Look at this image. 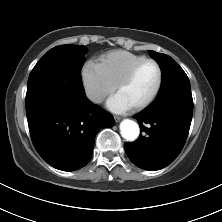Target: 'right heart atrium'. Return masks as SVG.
Instances as JSON below:
<instances>
[{"label":"right heart atrium","mask_w":222,"mask_h":222,"mask_svg":"<svg viewBox=\"0 0 222 222\" xmlns=\"http://www.w3.org/2000/svg\"><path fill=\"white\" fill-rule=\"evenodd\" d=\"M82 82L87 98L94 104L101 103L115 89L99 64L90 60L82 68Z\"/></svg>","instance_id":"1"}]
</instances>
